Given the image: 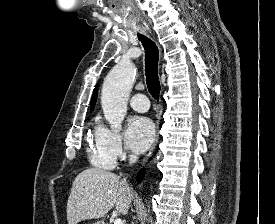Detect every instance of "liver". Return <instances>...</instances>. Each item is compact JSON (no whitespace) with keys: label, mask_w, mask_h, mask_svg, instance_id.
I'll use <instances>...</instances> for the list:
<instances>
[{"label":"liver","mask_w":275,"mask_h":224,"mask_svg":"<svg viewBox=\"0 0 275 224\" xmlns=\"http://www.w3.org/2000/svg\"><path fill=\"white\" fill-rule=\"evenodd\" d=\"M132 199L129 185L118 175L99 168L86 169L72 184L67 202L68 224L102 218L114 206L119 213L126 215Z\"/></svg>","instance_id":"liver-1"}]
</instances>
